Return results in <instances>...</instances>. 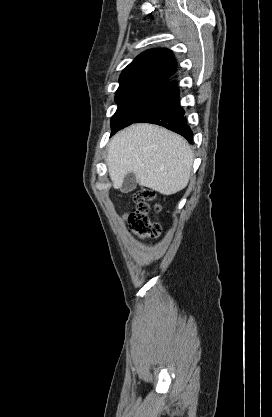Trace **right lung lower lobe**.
Returning <instances> with one entry per match:
<instances>
[{"mask_svg": "<svg viewBox=\"0 0 272 417\" xmlns=\"http://www.w3.org/2000/svg\"><path fill=\"white\" fill-rule=\"evenodd\" d=\"M147 122L164 126L184 136L192 143V131L179 104V89L175 81L169 82L148 109L133 123Z\"/></svg>", "mask_w": 272, "mask_h": 417, "instance_id": "98d812e1", "label": "right lung lower lobe"}]
</instances>
